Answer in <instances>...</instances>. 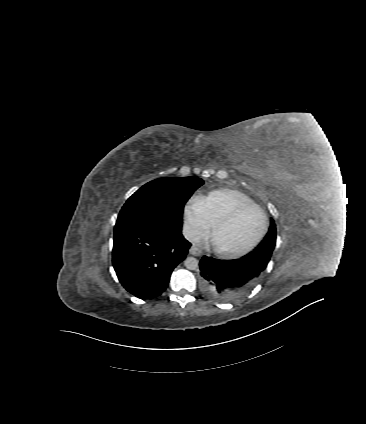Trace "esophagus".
<instances>
[{
    "instance_id": "34e87169",
    "label": "esophagus",
    "mask_w": 366,
    "mask_h": 424,
    "mask_svg": "<svg viewBox=\"0 0 366 424\" xmlns=\"http://www.w3.org/2000/svg\"><path fill=\"white\" fill-rule=\"evenodd\" d=\"M189 253L192 254V255H194V256H200L202 254V251L199 248H197L195 246H192L189 249Z\"/></svg>"
}]
</instances>
